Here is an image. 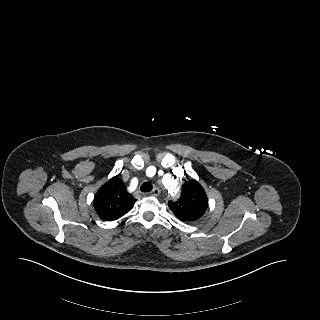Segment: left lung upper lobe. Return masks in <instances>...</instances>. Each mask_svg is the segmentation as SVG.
Returning <instances> with one entry per match:
<instances>
[{
    "instance_id": "obj_1",
    "label": "left lung upper lobe",
    "mask_w": 320,
    "mask_h": 320,
    "mask_svg": "<svg viewBox=\"0 0 320 320\" xmlns=\"http://www.w3.org/2000/svg\"><path fill=\"white\" fill-rule=\"evenodd\" d=\"M208 205L203 187L196 181L190 180L182 186L181 197L176 202H168L174 215L184 222H192L200 218Z\"/></svg>"
}]
</instances>
